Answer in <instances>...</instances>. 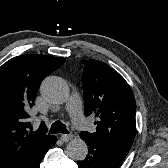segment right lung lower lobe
Returning a JSON list of instances; mask_svg holds the SVG:
<instances>
[{
  "instance_id": "obj_1",
  "label": "right lung lower lobe",
  "mask_w": 168,
  "mask_h": 168,
  "mask_svg": "<svg viewBox=\"0 0 168 168\" xmlns=\"http://www.w3.org/2000/svg\"><path fill=\"white\" fill-rule=\"evenodd\" d=\"M55 142H56V138L54 139L52 146L55 144ZM43 156L40 159H38L30 168H39V164H40V161L42 160Z\"/></svg>"
}]
</instances>
